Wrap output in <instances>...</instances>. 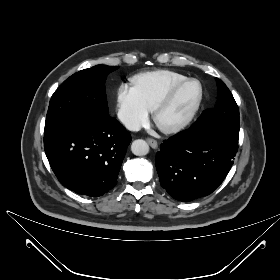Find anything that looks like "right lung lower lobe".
Segmentation results:
<instances>
[{
	"instance_id": "right-lung-lower-lobe-1",
	"label": "right lung lower lobe",
	"mask_w": 280,
	"mask_h": 280,
	"mask_svg": "<svg viewBox=\"0 0 280 280\" xmlns=\"http://www.w3.org/2000/svg\"><path fill=\"white\" fill-rule=\"evenodd\" d=\"M131 137L115 119L68 120L44 130V148L60 183L86 196L112 190Z\"/></svg>"
}]
</instances>
